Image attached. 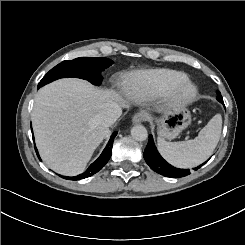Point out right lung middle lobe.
Wrapping results in <instances>:
<instances>
[{
    "instance_id": "dd1d6c3e",
    "label": "right lung middle lobe",
    "mask_w": 245,
    "mask_h": 245,
    "mask_svg": "<svg viewBox=\"0 0 245 245\" xmlns=\"http://www.w3.org/2000/svg\"><path fill=\"white\" fill-rule=\"evenodd\" d=\"M113 61L104 57L76 58L71 61H63L52 68L38 84V88L59 78L78 77L86 79L94 85L102 82L101 72L112 65Z\"/></svg>"
}]
</instances>
